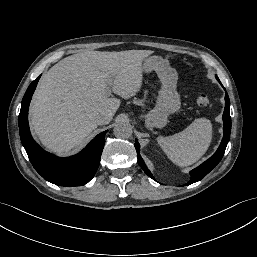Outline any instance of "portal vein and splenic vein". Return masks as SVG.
I'll list each match as a JSON object with an SVG mask.
<instances>
[{
	"label": "portal vein and splenic vein",
	"instance_id": "portal-vein-and-splenic-vein-1",
	"mask_svg": "<svg viewBox=\"0 0 257 257\" xmlns=\"http://www.w3.org/2000/svg\"><path fill=\"white\" fill-rule=\"evenodd\" d=\"M105 93H106L107 96H110V95H111V87H110V86H108V87L106 88Z\"/></svg>",
	"mask_w": 257,
	"mask_h": 257
}]
</instances>
